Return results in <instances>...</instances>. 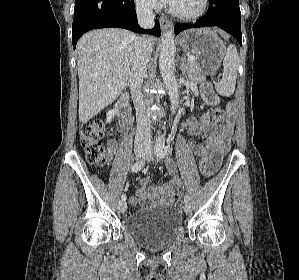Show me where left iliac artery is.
Listing matches in <instances>:
<instances>
[{
    "label": "left iliac artery",
    "mask_w": 299,
    "mask_h": 280,
    "mask_svg": "<svg viewBox=\"0 0 299 280\" xmlns=\"http://www.w3.org/2000/svg\"><path fill=\"white\" fill-rule=\"evenodd\" d=\"M169 148V146H165L164 142L162 140H158L155 147H154V153L155 155L160 158L163 159L165 157V150H167ZM184 201L185 203L189 202V195L186 194L184 196Z\"/></svg>",
    "instance_id": "44dca946"
}]
</instances>
